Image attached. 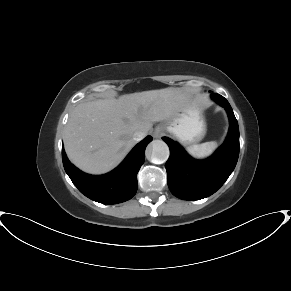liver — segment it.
I'll return each instance as SVG.
<instances>
[{
	"mask_svg": "<svg viewBox=\"0 0 291 291\" xmlns=\"http://www.w3.org/2000/svg\"><path fill=\"white\" fill-rule=\"evenodd\" d=\"M183 100L180 91L165 88L80 103L64 131L67 156L87 173H107L134 147L135 132L147 134L154 122L170 119Z\"/></svg>",
	"mask_w": 291,
	"mask_h": 291,
	"instance_id": "6515ba94",
	"label": "liver"
}]
</instances>
